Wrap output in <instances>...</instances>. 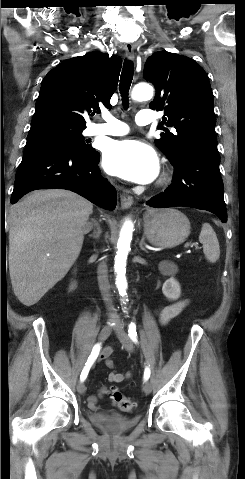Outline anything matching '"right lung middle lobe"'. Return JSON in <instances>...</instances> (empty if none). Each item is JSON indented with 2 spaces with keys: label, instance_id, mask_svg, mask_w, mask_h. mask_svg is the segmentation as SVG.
<instances>
[{
  "label": "right lung middle lobe",
  "instance_id": "obj_1",
  "mask_svg": "<svg viewBox=\"0 0 245 479\" xmlns=\"http://www.w3.org/2000/svg\"><path fill=\"white\" fill-rule=\"evenodd\" d=\"M83 130L62 125L30 129L24 154L51 145H69L82 151H95L90 145H86L82 136Z\"/></svg>",
  "mask_w": 245,
  "mask_h": 479
}]
</instances>
